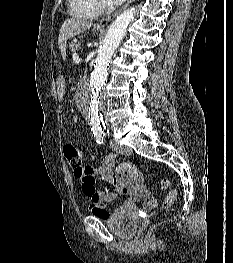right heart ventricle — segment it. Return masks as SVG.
Listing matches in <instances>:
<instances>
[{
  "label": "right heart ventricle",
  "instance_id": "right-heart-ventricle-1",
  "mask_svg": "<svg viewBox=\"0 0 233 263\" xmlns=\"http://www.w3.org/2000/svg\"><path fill=\"white\" fill-rule=\"evenodd\" d=\"M71 12L81 18L93 19L101 13L97 0H70Z\"/></svg>",
  "mask_w": 233,
  "mask_h": 263
}]
</instances>
